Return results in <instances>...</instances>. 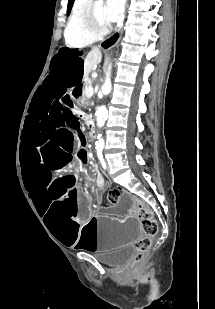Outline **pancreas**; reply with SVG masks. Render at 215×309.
<instances>
[{
  "mask_svg": "<svg viewBox=\"0 0 215 309\" xmlns=\"http://www.w3.org/2000/svg\"><path fill=\"white\" fill-rule=\"evenodd\" d=\"M93 82L91 78H88V80H84V90L82 94V102H87V104H90V96H88V92H86V88H89V86H92Z\"/></svg>",
  "mask_w": 215,
  "mask_h": 309,
  "instance_id": "1",
  "label": "pancreas"
}]
</instances>
